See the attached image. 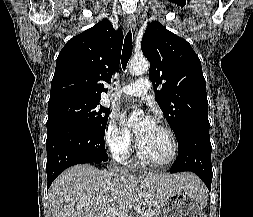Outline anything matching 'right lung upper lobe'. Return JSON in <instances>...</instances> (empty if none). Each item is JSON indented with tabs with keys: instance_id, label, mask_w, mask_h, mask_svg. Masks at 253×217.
Segmentation results:
<instances>
[{
	"instance_id": "obj_1",
	"label": "right lung upper lobe",
	"mask_w": 253,
	"mask_h": 217,
	"mask_svg": "<svg viewBox=\"0 0 253 217\" xmlns=\"http://www.w3.org/2000/svg\"><path fill=\"white\" fill-rule=\"evenodd\" d=\"M121 29L108 19L71 38L60 51L51 82L50 102L71 97L101 99L120 63Z\"/></svg>"
}]
</instances>
